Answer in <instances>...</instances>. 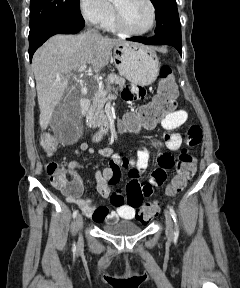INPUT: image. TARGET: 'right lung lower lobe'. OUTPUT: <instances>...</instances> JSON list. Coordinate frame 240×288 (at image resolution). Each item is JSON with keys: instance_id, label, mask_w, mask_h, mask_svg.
Listing matches in <instances>:
<instances>
[{"instance_id": "98d812e1", "label": "right lung lower lobe", "mask_w": 240, "mask_h": 288, "mask_svg": "<svg viewBox=\"0 0 240 288\" xmlns=\"http://www.w3.org/2000/svg\"><path fill=\"white\" fill-rule=\"evenodd\" d=\"M84 27V22H72L65 20L53 21L42 26L34 36L29 38L30 61L36 49L49 37L55 34H75Z\"/></svg>"}]
</instances>
